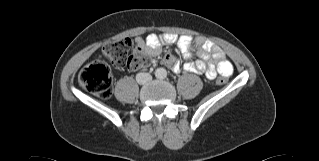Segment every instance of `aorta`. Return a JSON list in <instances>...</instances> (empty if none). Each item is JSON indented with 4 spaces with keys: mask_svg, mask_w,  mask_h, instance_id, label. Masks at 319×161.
Masks as SVG:
<instances>
[{
    "mask_svg": "<svg viewBox=\"0 0 319 161\" xmlns=\"http://www.w3.org/2000/svg\"><path fill=\"white\" fill-rule=\"evenodd\" d=\"M167 75V71L164 69V68H158L156 71H155V76L157 78H160V79H163L165 78Z\"/></svg>",
    "mask_w": 319,
    "mask_h": 161,
    "instance_id": "1",
    "label": "aorta"
}]
</instances>
